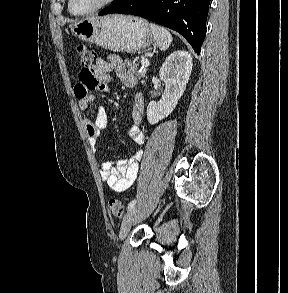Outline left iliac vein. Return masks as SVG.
<instances>
[{
    "label": "left iliac vein",
    "instance_id": "4c4485c4",
    "mask_svg": "<svg viewBox=\"0 0 288 293\" xmlns=\"http://www.w3.org/2000/svg\"><path fill=\"white\" fill-rule=\"evenodd\" d=\"M139 212L138 207H133L131 208L128 213L125 215L123 221H122V226L120 230L119 237L121 240H123L126 235L128 234L133 222L135 221L137 214Z\"/></svg>",
    "mask_w": 288,
    "mask_h": 293
}]
</instances>
